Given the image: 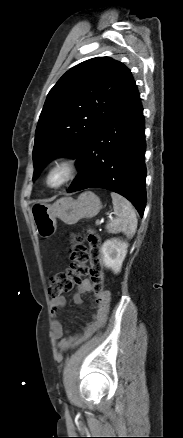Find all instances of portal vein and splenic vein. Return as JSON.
<instances>
[{"mask_svg":"<svg viewBox=\"0 0 183 438\" xmlns=\"http://www.w3.org/2000/svg\"><path fill=\"white\" fill-rule=\"evenodd\" d=\"M102 223H103V220H99V219L96 220V224L99 225V224H102Z\"/></svg>","mask_w":183,"mask_h":438,"instance_id":"portal-vein-and-splenic-vein-1","label":"portal vein and splenic vein"}]
</instances>
